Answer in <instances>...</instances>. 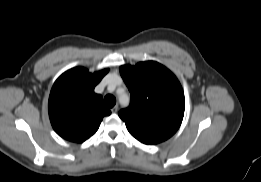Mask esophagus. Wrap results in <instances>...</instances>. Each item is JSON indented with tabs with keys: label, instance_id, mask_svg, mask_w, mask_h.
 <instances>
[{
	"label": "esophagus",
	"instance_id": "esophagus-1",
	"mask_svg": "<svg viewBox=\"0 0 261 182\" xmlns=\"http://www.w3.org/2000/svg\"><path fill=\"white\" fill-rule=\"evenodd\" d=\"M112 113L115 114L118 111V105H115L112 109H111Z\"/></svg>",
	"mask_w": 261,
	"mask_h": 182
}]
</instances>
